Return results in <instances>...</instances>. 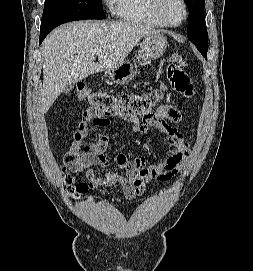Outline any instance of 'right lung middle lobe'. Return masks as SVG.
<instances>
[{"label":"right lung middle lobe","mask_w":253,"mask_h":271,"mask_svg":"<svg viewBox=\"0 0 253 271\" xmlns=\"http://www.w3.org/2000/svg\"><path fill=\"white\" fill-rule=\"evenodd\" d=\"M104 18L101 0H45L40 33L69 21Z\"/></svg>","instance_id":"1"}]
</instances>
